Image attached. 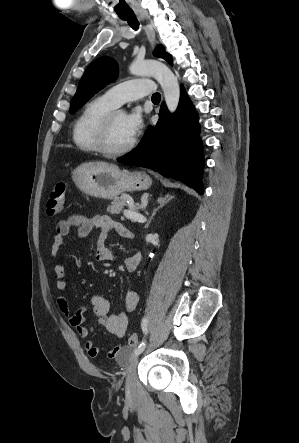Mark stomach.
<instances>
[{
  "label": "stomach",
  "mask_w": 299,
  "mask_h": 443,
  "mask_svg": "<svg viewBox=\"0 0 299 443\" xmlns=\"http://www.w3.org/2000/svg\"><path fill=\"white\" fill-rule=\"evenodd\" d=\"M76 186L85 194L113 199L124 192L147 190L152 179L144 172L122 171L114 164L86 163L72 173Z\"/></svg>",
  "instance_id": "obj_1"
}]
</instances>
